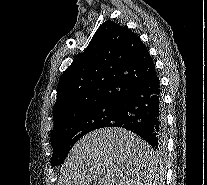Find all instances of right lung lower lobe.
<instances>
[{
  "label": "right lung lower lobe",
  "instance_id": "obj_1",
  "mask_svg": "<svg viewBox=\"0 0 207 185\" xmlns=\"http://www.w3.org/2000/svg\"><path fill=\"white\" fill-rule=\"evenodd\" d=\"M116 120L105 127H122L146 140L154 149L164 147L165 115L157 75L128 90L119 102Z\"/></svg>",
  "mask_w": 207,
  "mask_h": 185
}]
</instances>
